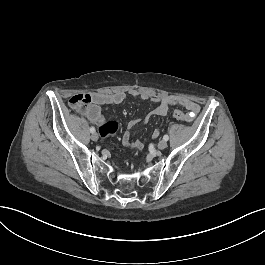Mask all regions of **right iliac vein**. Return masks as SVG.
Wrapping results in <instances>:
<instances>
[{"label": "right iliac vein", "instance_id": "right-iliac-vein-1", "mask_svg": "<svg viewBox=\"0 0 265 265\" xmlns=\"http://www.w3.org/2000/svg\"><path fill=\"white\" fill-rule=\"evenodd\" d=\"M91 139L93 140V141H98V139H99V135L97 134V133H93L92 135H91Z\"/></svg>", "mask_w": 265, "mask_h": 265}]
</instances>
